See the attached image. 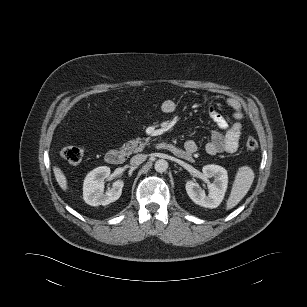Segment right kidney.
<instances>
[{
  "label": "right kidney",
  "instance_id": "ca27d5eb",
  "mask_svg": "<svg viewBox=\"0 0 307 307\" xmlns=\"http://www.w3.org/2000/svg\"><path fill=\"white\" fill-rule=\"evenodd\" d=\"M110 168L100 166L86 176L83 184V199L91 206L108 205L118 200L122 194L124 182H113L112 188L104 192V180L110 176Z\"/></svg>",
  "mask_w": 307,
  "mask_h": 307
}]
</instances>
